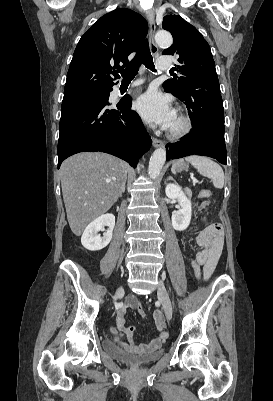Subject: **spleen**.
<instances>
[{
	"label": "spleen",
	"instance_id": "3e777b00",
	"mask_svg": "<svg viewBox=\"0 0 273 401\" xmlns=\"http://www.w3.org/2000/svg\"><path fill=\"white\" fill-rule=\"evenodd\" d=\"M183 160L191 162L200 174L211 178L216 188H223L225 176L220 164H217V162H214L211 158H206V156H196V154H193V156H186V158H180L177 162H183ZM175 164L172 166V172H175Z\"/></svg>",
	"mask_w": 273,
	"mask_h": 401
}]
</instances>
